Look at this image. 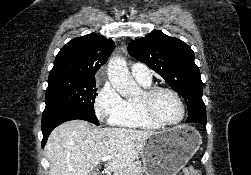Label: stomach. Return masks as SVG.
<instances>
[{"label":"stomach","mask_w":251,"mask_h":175,"mask_svg":"<svg viewBox=\"0 0 251 175\" xmlns=\"http://www.w3.org/2000/svg\"><path fill=\"white\" fill-rule=\"evenodd\" d=\"M202 137L193 125L151 133L140 151L146 175H176L198 151Z\"/></svg>","instance_id":"stomach-1"}]
</instances>
